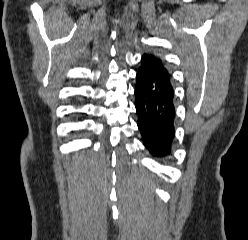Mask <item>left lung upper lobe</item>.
Masks as SVG:
<instances>
[{
    "label": "left lung upper lobe",
    "mask_w": 248,
    "mask_h": 240,
    "mask_svg": "<svg viewBox=\"0 0 248 240\" xmlns=\"http://www.w3.org/2000/svg\"><path fill=\"white\" fill-rule=\"evenodd\" d=\"M149 56L154 58L167 71V69L164 67L163 62H162V60L160 58H158L157 56H154V55H149Z\"/></svg>",
    "instance_id": "1"
}]
</instances>
